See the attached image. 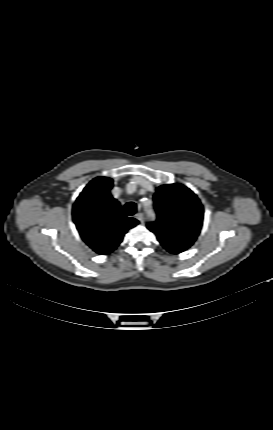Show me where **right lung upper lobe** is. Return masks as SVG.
Here are the masks:
<instances>
[{
  "mask_svg": "<svg viewBox=\"0 0 273 430\" xmlns=\"http://www.w3.org/2000/svg\"><path fill=\"white\" fill-rule=\"evenodd\" d=\"M113 181L93 179L76 199L72 216L83 241L100 255L111 253L128 229L139 222L126 217L119 202L110 194Z\"/></svg>",
  "mask_w": 273,
  "mask_h": 430,
  "instance_id": "right-lung-upper-lobe-1",
  "label": "right lung upper lobe"
}]
</instances>
